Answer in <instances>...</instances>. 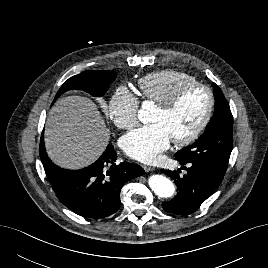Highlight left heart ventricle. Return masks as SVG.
Instances as JSON below:
<instances>
[{"mask_svg":"<svg viewBox=\"0 0 268 268\" xmlns=\"http://www.w3.org/2000/svg\"><path fill=\"white\" fill-rule=\"evenodd\" d=\"M207 104V92L201 88H192L182 95L172 111L163 113L155 108L150 121L163 125L171 139H179L187 136L197 126Z\"/></svg>","mask_w":268,"mask_h":268,"instance_id":"b2bd125f","label":"left heart ventricle"}]
</instances>
